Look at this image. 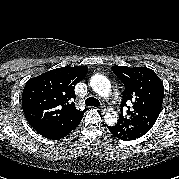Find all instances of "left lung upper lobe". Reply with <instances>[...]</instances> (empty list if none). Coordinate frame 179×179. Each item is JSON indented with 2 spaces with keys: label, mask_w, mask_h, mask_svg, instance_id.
Listing matches in <instances>:
<instances>
[{
  "label": "left lung upper lobe",
  "mask_w": 179,
  "mask_h": 179,
  "mask_svg": "<svg viewBox=\"0 0 179 179\" xmlns=\"http://www.w3.org/2000/svg\"><path fill=\"white\" fill-rule=\"evenodd\" d=\"M112 71L125 86L121 114L112 127L114 135L124 140L139 138L152 128L160 114L163 83L147 67L112 66ZM123 108H127L125 115Z\"/></svg>",
  "instance_id": "5c2ea615"
}]
</instances>
